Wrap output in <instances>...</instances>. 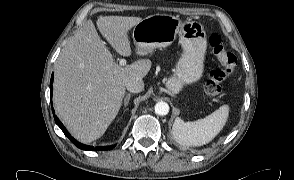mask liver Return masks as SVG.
Listing matches in <instances>:
<instances>
[{
    "mask_svg": "<svg viewBox=\"0 0 294 180\" xmlns=\"http://www.w3.org/2000/svg\"><path fill=\"white\" fill-rule=\"evenodd\" d=\"M140 17L101 16L97 27L108 43L122 56L131 55L128 31ZM150 60H138L125 67L111 52L88 20L69 38L54 65L53 103L56 114L80 142L100 138L122 105L126 84L143 79Z\"/></svg>",
    "mask_w": 294,
    "mask_h": 180,
    "instance_id": "1",
    "label": "liver"
}]
</instances>
